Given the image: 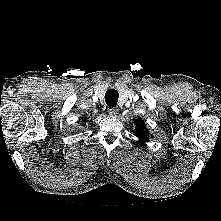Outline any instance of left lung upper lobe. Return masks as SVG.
<instances>
[{"label": "left lung upper lobe", "instance_id": "obj_1", "mask_svg": "<svg viewBox=\"0 0 221 221\" xmlns=\"http://www.w3.org/2000/svg\"><path fill=\"white\" fill-rule=\"evenodd\" d=\"M136 125L139 127V130L134 133V135L139 139L138 142L143 144L144 142L148 141L147 132L145 131V124L142 120H136Z\"/></svg>", "mask_w": 221, "mask_h": 221}]
</instances>
